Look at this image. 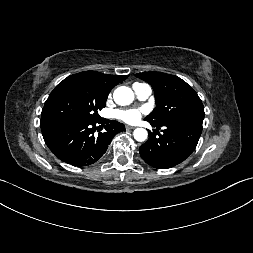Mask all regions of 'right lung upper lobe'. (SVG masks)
Segmentation results:
<instances>
[{
	"instance_id": "right-lung-upper-lobe-1",
	"label": "right lung upper lobe",
	"mask_w": 253,
	"mask_h": 253,
	"mask_svg": "<svg viewBox=\"0 0 253 253\" xmlns=\"http://www.w3.org/2000/svg\"><path fill=\"white\" fill-rule=\"evenodd\" d=\"M79 74L86 77L97 87L108 93L115 85L124 81L128 77L127 75H108L96 71H85Z\"/></svg>"
}]
</instances>
